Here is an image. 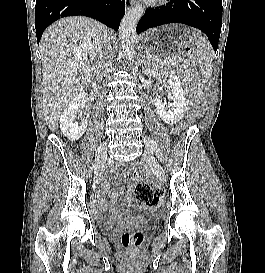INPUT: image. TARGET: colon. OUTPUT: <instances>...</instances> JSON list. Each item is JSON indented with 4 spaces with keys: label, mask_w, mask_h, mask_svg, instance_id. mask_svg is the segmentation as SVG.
<instances>
[{
    "label": "colon",
    "mask_w": 265,
    "mask_h": 273,
    "mask_svg": "<svg viewBox=\"0 0 265 273\" xmlns=\"http://www.w3.org/2000/svg\"><path fill=\"white\" fill-rule=\"evenodd\" d=\"M193 50L191 40H188L185 51L191 53ZM131 178H137L138 173L136 170L131 169L129 171ZM134 194L137 200L145 205L154 206L156 205L161 197L160 190L155 188L148 182H138L134 186ZM147 235L145 229L139 228L134 230H126L120 235V242L125 248L139 247L143 244Z\"/></svg>",
    "instance_id": "obj_1"
}]
</instances>
